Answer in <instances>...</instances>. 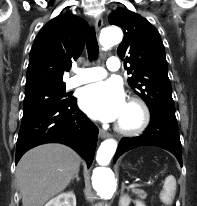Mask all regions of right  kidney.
Masks as SVG:
<instances>
[{"label": "right kidney", "mask_w": 197, "mask_h": 206, "mask_svg": "<svg viewBox=\"0 0 197 206\" xmlns=\"http://www.w3.org/2000/svg\"><path fill=\"white\" fill-rule=\"evenodd\" d=\"M45 206H76V197L73 192L61 193L51 199Z\"/></svg>", "instance_id": "ca27d5eb"}]
</instances>
